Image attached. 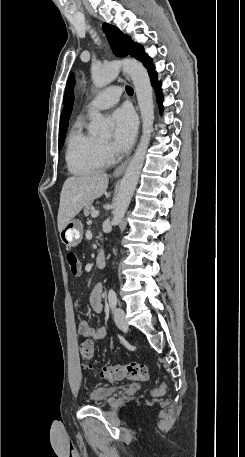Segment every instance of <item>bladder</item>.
<instances>
[{"label": "bladder", "mask_w": 245, "mask_h": 457, "mask_svg": "<svg viewBox=\"0 0 245 457\" xmlns=\"http://www.w3.org/2000/svg\"><path fill=\"white\" fill-rule=\"evenodd\" d=\"M116 389H117L116 387H109V388L96 387L90 395V400L92 403L104 402L105 400L109 399L114 394Z\"/></svg>", "instance_id": "31cf9c89"}]
</instances>
